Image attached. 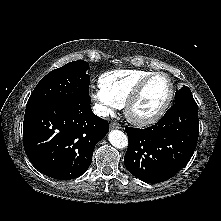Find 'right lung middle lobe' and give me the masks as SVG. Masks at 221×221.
I'll list each match as a JSON object with an SVG mask.
<instances>
[{
	"instance_id": "dd1d6c3e",
	"label": "right lung middle lobe",
	"mask_w": 221,
	"mask_h": 221,
	"mask_svg": "<svg viewBox=\"0 0 221 221\" xmlns=\"http://www.w3.org/2000/svg\"><path fill=\"white\" fill-rule=\"evenodd\" d=\"M88 67L86 61L79 60L51 71L37 84L26 108L52 103L74 105L88 98Z\"/></svg>"
}]
</instances>
